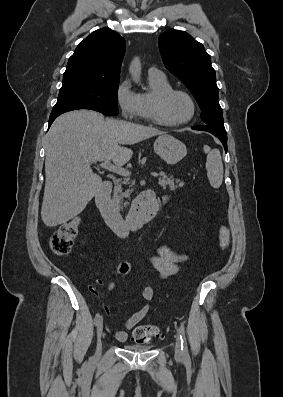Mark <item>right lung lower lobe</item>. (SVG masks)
<instances>
[{"label":"right lung lower lobe","mask_w":283,"mask_h":397,"mask_svg":"<svg viewBox=\"0 0 283 397\" xmlns=\"http://www.w3.org/2000/svg\"><path fill=\"white\" fill-rule=\"evenodd\" d=\"M76 109H91V108H86V107H56V108H53V110L50 114V118H49V127L51 126L53 121L59 115L65 113V112H68V111L76 110ZM91 110H95V109H91ZM95 111H97V110H95Z\"/></svg>","instance_id":"right-lung-lower-lobe-1"}]
</instances>
